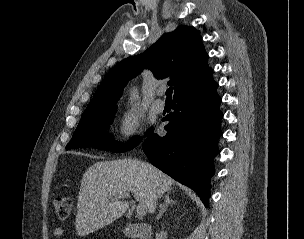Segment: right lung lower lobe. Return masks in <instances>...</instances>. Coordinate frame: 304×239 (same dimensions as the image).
<instances>
[{
    "mask_svg": "<svg viewBox=\"0 0 304 239\" xmlns=\"http://www.w3.org/2000/svg\"><path fill=\"white\" fill-rule=\"evenodd\" d=\"M212 72L174 94V112L165 136L149 134L143 151L152 163L176 181L193 189L208 207L209 180L214 175V157L219 154L221 98Z\"/></svg>",
    "mask_w": 304,
    "mask_h": 239,
    "instance_id": "right-lung-lower-lobe-1",
    "label": "right lung lower lobe"
}]
</instances>
